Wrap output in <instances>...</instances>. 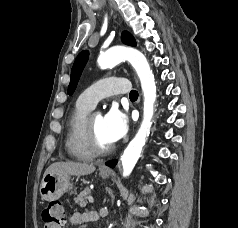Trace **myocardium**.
<instances>
[{
	"label": "myocardium",
	"instance_id": "obj_1",
	"mask_svg": "<svg viewBox=\"0 0 238 228\" xmlns=\"http://www.w3.org/2000/svg\"><path fill=\"white\" fill-rule=\"evenodd\" d=\"M86 140L87 145L93 155L96 156H105L112 153L115 149V146L112 144L110 146H101L97 140L94 127L92 125V117L87 118L86 122Z\"/></svg>",
	"mask_w": 238,
	"mask_h": 228
}]
</instances>
